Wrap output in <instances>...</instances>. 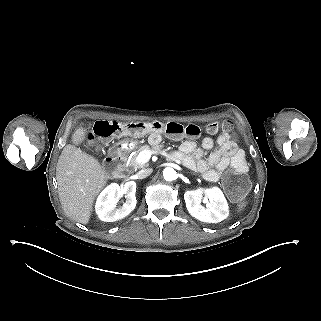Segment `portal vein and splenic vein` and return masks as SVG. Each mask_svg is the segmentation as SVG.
<instances>
[{
    "mask_svg": "<svg viewBox=\"0 0 321 321\" xmlns=\"http://www.w3.org/2000/svg\"><path fill=\"white\" fill-rule=\"evenodd\" d=\"M150 158H151V151L144 150L138 154L136 159L138 163L144 164V163H147L150 160Z\"/></svg>",
    "mask_w": 321,
    "mask_h": 321,
    "instance_id": "portal-vein-and-splenic-vein-1",
    "label": "portal vein and splenic vein"
}]
</instances>
